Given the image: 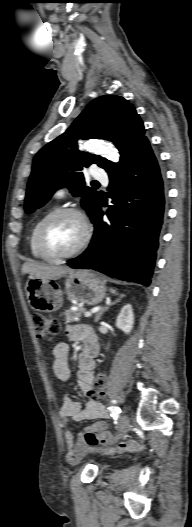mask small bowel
Here are the masks:
<instances>
[{
  "label": "small bowel",
  "instance_id": "1",
  "mask_svg": "<svg viewBox=\"0 0 192 527\" xmlns=\"http://www.w3.org/2000/svg\"><path fill=\"white\" fill-rule=\"evenodd\" d=\"M66 336L70 341L81 342L84 350L78 359L77 381L81 391L89 398L82 405L73 399L69 394L65 395L63 404L59 410L61 418L63 436L67 445V460L75 463L87 452L89 447L100 442L109 443L105 430L107 427L104 421L108 413L102 403L96 399L95 378L93 376L94 358L98 352L97 336L91 327L87 325H70L66 329ZM54 357L52 369L54 375L63 382L71 377V370L68 364L69 346L66 343H58L52 350ZM95 420V422L85 431L79 434L78 440L74 442V436L70 430L72 421ZM122 448H134V443L121 445ZM108 449L106 452H111Z\"/></svg>",
  "mask_w": 192,
  "mask_h": 527
}]
</instances>
